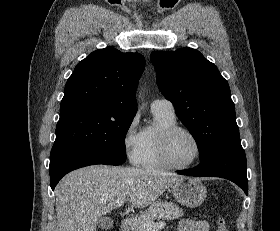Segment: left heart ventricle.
<instances>
[{"mask_svg":"<svg viewBox=\"0 0 280 231\" xmlns=\"http://www.w3.org/2000/svg\"><path fill=\"white\" fill-rule=\"evenodd\" d=\"M169 154L178 165L190 164L197 155L196 142L189 134L178 132L170 140Z\"/></svg>","mask_w":280,"mask_h":231,"instance_id":"b2bd125f","label":"left heart ventricle"}]
</instances>
